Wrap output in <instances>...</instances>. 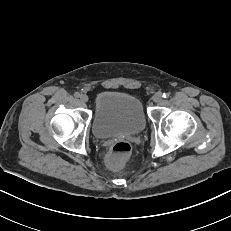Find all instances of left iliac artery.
<instances>
[{
	"label": "left iliac artery",
	"instance_id": "left-iliac-artery-1",
	"mask_svg": "<svg viewBox=\"0 0 231 231\" xmlns=\"http://www.w3.org/2000/svg\"><path fill=\"white\" fill-rule=\"evenodd\" d=\"M169 97V93H163V98H168Z\"/></svg>",
	"mask_w": 231,
	"mask_h": 231
}]
</instances>
